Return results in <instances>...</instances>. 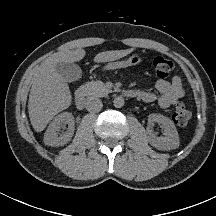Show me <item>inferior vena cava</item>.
I'll return each instance as SVG.
<instances>
[{
  "instance_id": "inferior-vena-cava-1",
  "label": "inferior vena cava",
  "mask_w": 216,
  "mask_h": 216,
  "mask_svg": "<svg viewBox=\"0 0 216 216\" xmlns=\"http://www.w3.org/2000/svg\"><path fill=\"white\" fill-rule=\"evenodd\" d=\"M103 107L102 101L99 98H91L87 101V110L89 112H99Z\"/></svg>"
}]
</instances>
